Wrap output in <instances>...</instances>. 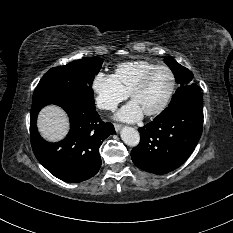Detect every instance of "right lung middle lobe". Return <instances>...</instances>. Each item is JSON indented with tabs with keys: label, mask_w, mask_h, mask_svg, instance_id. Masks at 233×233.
Returning a JSON list of instances; mask_svg holds the SVG:
<instances>
[{
	"label": "right lung middle lobe",
	"mask_w": 233,
	"mask_h": 233,
	"mask_svg": "<svg viewBox=\"0 0 233 233\" xmlns=\"http://www.w3.org/2000/svg\"><path fill=\"white\" fill-rule=\"evenodd\" d=\"M103 61L86 58L54 67L44 74L33 94L38 99L73 100L95 106L92 83Z\"/></svg>",
	"instance_id": "dd1d6c3e"
}]
</instances>
